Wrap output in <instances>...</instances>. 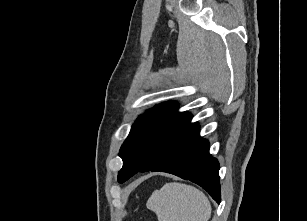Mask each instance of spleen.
I'll use <instances>...</instances> for the list:
<instances>
[{"label": "spleen", "instance_id": "1", "mask_svg": "<svg viewBox=\"0 0 307 221\" xmlns=\"http://www.w3.org/2000/svg\"><path fill=\"white\" fill-rule=\"evenodd\" d=\"M158 221H208L211 204L197 188L183 183H166L155 190L146 204Z\"/></svg>", "mask_w": 307, "mask_h": 221}]
</instances>
